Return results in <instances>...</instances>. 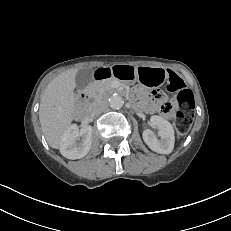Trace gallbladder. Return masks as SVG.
<instances>
[{
    "instance_id": "1",
    "label": "gallbladder",
    "mask_w": 231,
    "mask_h": 231,
    "mask_svg": "<svg viewBox=\"0 0 231 231\" xmlns=\"http://www.w3.org/2000/svg\"><path fill=\"white\" fill-rule=\"evenodd\" d=\"M92 77V73L88 69L79 70L75 77L76 87L83 90L89 83Z\"/></svg>"
}]
</instances>
